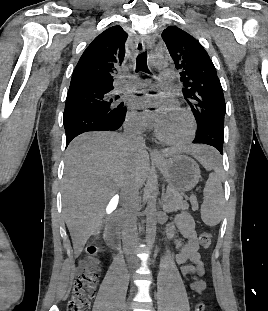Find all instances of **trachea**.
Instances as JSON below:
<instances>
[{"mask_svg": "<svg viewBox=\"0 0 268 311\" xmlns=\"http://www.w3.org/2000/svg\"><path fill=\"white\" fill-rule=\"evenodd\" d=\"M143 71L146 73H150L147 66V53L143 52L137 56L136 59V72Z\"/></svg>", "mask_w": 268, "mask_h": 311, "instance_id": "3493384b", "label": "trachea"}]
</instances>
